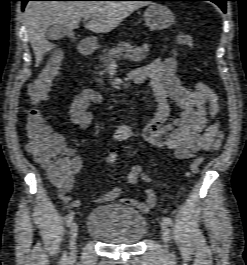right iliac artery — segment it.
Instances as JSON below:
<instances>
[{
	"label": "right iliac artery",
	"instance_id": "right-iliac-artery-1",
	"mask_svg": "<svg viewBox=\"0 0 247 265\" xmlns=\"http://www.w3.org/2000/svg\"><path fill=\"white\" fill-rule=\"evenodd\" d=\"M74 214H75V212H70L67 216H66V225L67 226H70L71 225V223H72V221H73V219H74ZM62 260L63 261H65L66 260V255L65 254H63V256H62Z\"/></svg>",
	"mask_w": 247,
	"mask_h": 265
}]
</instances>
